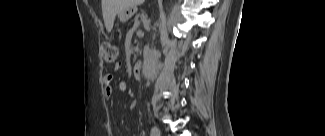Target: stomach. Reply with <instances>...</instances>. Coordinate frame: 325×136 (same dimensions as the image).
Masks as SVG:
<instances>
[{
    "label": "stomach",
    "mask_w": 325,
    "mask_h": 136,
    "mask_svg": "<svg viewBox=\"0 0 325 136\" xmlns=\"http://www.w3.org/2000/svg\"><path fill=\"white\" fill-rule=\"evenodd\" d=\"M134 13H135L134 8H125L124 11L119 13V19L123 22L127 21L132 15H134Z\"/></svg>",
    "instance_id": "1"
}]
</instances>
